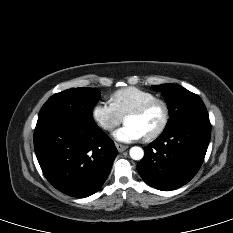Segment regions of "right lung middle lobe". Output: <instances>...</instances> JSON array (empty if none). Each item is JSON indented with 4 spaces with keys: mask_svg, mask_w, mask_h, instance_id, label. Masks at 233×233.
<instances>
[{
    "mask_svg": "<svg viewBox=\"0 0 233 233\" xmlns=\"http://www.w3.org/2000/svg\"><path fill=\"white\" fill-rule=\"evenodd\" d=\"M100 92L93 88H73L52 95L42 106L38 120L52 116H69L92 122V107Z\"/></svg>",
    "mask_w": 233,
    "mask_h": 233,
    "instance_id": "dd1d6c3e",
    "label": "right lung middle lobe"
}]
</instances>
